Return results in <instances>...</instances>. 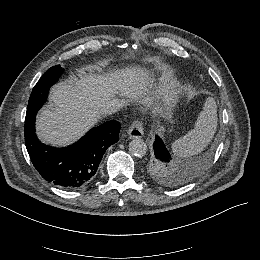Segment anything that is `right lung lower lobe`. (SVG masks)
<instances>
[{"instance_id":"right-lung-lower-lobe-1","label":"right lung lower lobe","mask_w":260,"mask_h":260,"mask_svg":"<svg viewBox=\"0 0 260 260\" xmlns=\"http://www.w3.org/2000/svg\"><path fill=\"white\" fill-rule=\"evenodd\" d=\"M120 123L109 121L92 128L69 147L42 144L35 134V116L25 119L24 132L31 161L48 182L66 190L79 189L96 177L106 149L119 139Z\"/></svg>"}]
</instances>
